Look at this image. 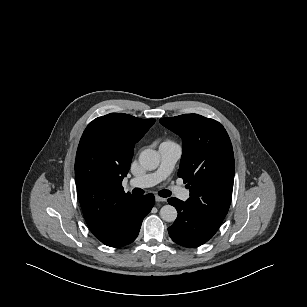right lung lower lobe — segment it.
<instances>
[{
	"label": "right lung lower lobe",
	"instance_id": "1",
	"mask_svg": "<svg viewBox=\"0 0 307 307\" xmlns=\"http://www.w3.org/2000/svg\"><path fill=\"white\" fill-rule=\"evenodd\" d=\"M155 202L153 194L140 196V202L134 210L129 223L122 236L117 240L105 245L110 247H122L133 242L138 236L143 218L151 211Z\"/></svg>",
	"mask_w": 307,
	"mask_h": 307
}]
</instances>
